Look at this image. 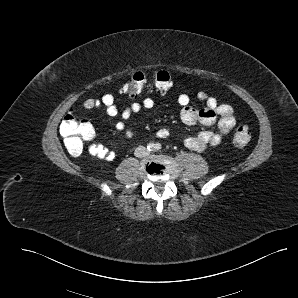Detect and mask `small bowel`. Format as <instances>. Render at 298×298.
<instances>
[{"label": "small bowel", "instance_id": "c3829d8e", "mask_svg": "<svg viewBox=\"0 0 298 298\" xmlns=\"http://www.w3.org/2000/svg\"><path fill=\"white\" fill-rule=\"evenodd\" d=\"M196 99L205 104L202 109L190 106L189 95H179L178 103L182 106L180 118L187 125L201 123L211 126L217 124V131H201L184 140V144L188 149L203 151L209 146H218L224 136L234 128L236 119L233 114V108L229 104H220L216 98L209 96L203 91L196 94ZM80 106L86 110L103 109L109 116L119 115L120 120L116 122V129L123 132L126 139H131L134 136V130L126 127V121L142 110L152 109L155 106V102L152 98H145L142 101L133 102L127 108L119 111L114 96L105 94L98 99H86ZM169 135L170 132L166 128H161L156 132V136L161 139L168 138ZM88 149L91 155L109 162L116 157L113 150L101 144L91 143Z\"/></svg>", "mask_w": 298, "mask_h": 298}]
</instances>
